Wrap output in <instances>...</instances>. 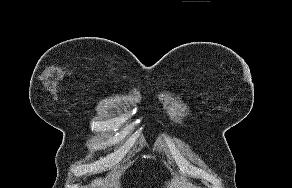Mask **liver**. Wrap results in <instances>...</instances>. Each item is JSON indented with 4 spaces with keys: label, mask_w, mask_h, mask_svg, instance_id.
I'll return each instance as SVG.
<instances>
[{
    "label": "liver",
    "mask_w": 292,
    "mask_h": 188,
    "mask_svg": "<svg viewBox=\"0 0 292 188\" xmlns=\"http://www.w3.org/2000/svg\"><path fill=\"white\" fill-rule=\"evenodd\" d=\"M106 184H108L107 180L104 181L100 179V180H95L92 183V186L100 187V186H105ZM181 184H183V181L179 180L178 178L172 179L171 183L167 185V188H178Z\"/></svg>",
    "instance_id": "liver-1"
}]
</instances>
